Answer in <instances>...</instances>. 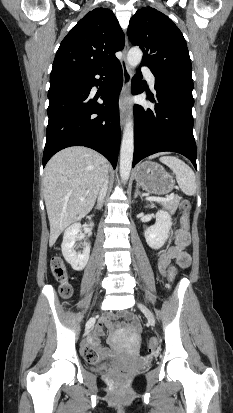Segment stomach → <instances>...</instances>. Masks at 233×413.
Segmentation results:
<instances>
[{
    "label": "stomach",
    "mask_w": 233,
    "mask_h": 413,
    "mask_svg": "<svg viewBox=\"0 0 233 413\" xmlns=\"http://www.w3.org/2000/svg\"><path fill=\"white\" fill-rule=\"evenodd\" d=\"M135 179L145 191L153 194H167L174 187L172 176L156 162L139 164L135 169Z\"/></svg>",
    "instance_id": "0dacf381"
}]
</instances>
